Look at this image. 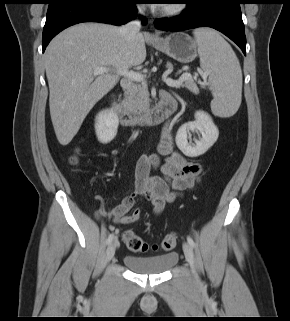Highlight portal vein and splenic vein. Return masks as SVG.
Segmentation results:
<instances>
[{"instance_id":"portal-vein-and-splenic-vein-1","label":"portal vein and splenic vein","mask_w":290,"mask_h":321,"mask_svg":"<svg viewBox=\"0 0 290 321\" xmlns=\"http://www.w3.org/2000/svg\"><path fill=\"white\" fill-rule=\"evenodd\" d=\"M109 71H114L113 69L111 70L109 67H96L93 69V73L94 75H100V74H103V73H106V72H109ZM119 75L123 76V77H126L128 79H131L133 81H136V82H141L142 84H145V77L142 75V74H139L137 72H134V71H121L119 73ZM192 78V76L189 74V73H185L183 74L179 80H173L171 78H168L167 77V73L164 75V81L165 83L168 85V86H171V87H178L182 84V82L184 80H187V79H190ZM203 78L205 79L206 78V75L203 74Z\"/></svg>"}]
</instances>
